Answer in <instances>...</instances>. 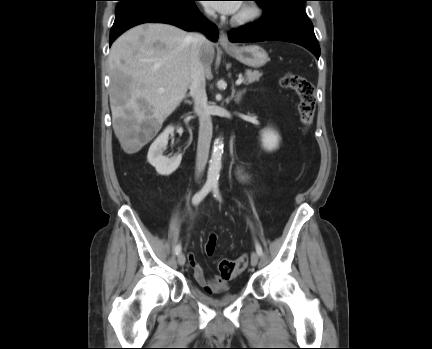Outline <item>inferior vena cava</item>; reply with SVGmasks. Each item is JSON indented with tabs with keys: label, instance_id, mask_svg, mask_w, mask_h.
<instances>
[{
	"label": "inferior vena cava",
	"instance_id": "602c4592",
	"mask_svg": "<svg viewBox=\"0 0 432 349\" xmlns=\"http://www.w3.org/2000/svg\"><path fill=\"white\" fill-rule=\"evenodd\" d=\"M207 13L214 15V12L210 10ZM188 39L191 42L189 89L194 100V111L198 114L200 123L196 155V176L198 178L203 174L208 161L213 130L205 90V70L200 59L201 48L208 40L200 32L190 33Z\"/></svg>",
	"mask_w": 432,
	"mask_h": 349
}]
</instances>
